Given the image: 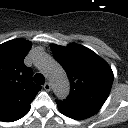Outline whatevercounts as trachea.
Instances as JSON below:
<instances>
[{"instance_id":"obj_1","label":"trachea","mask_w":128,"mask_h":128,"mask_svg":"<svg viewBox=\"0 0 128 128\" xmlns=\"http://www.w3.org/2000/svg\"><path fill=\"white\" fill-rule=\"evenodd\" d=\"M34 82L38 85H43L45 83V78L42 74L37 73L34 76Z\"/></svg>"}]
</instances>
